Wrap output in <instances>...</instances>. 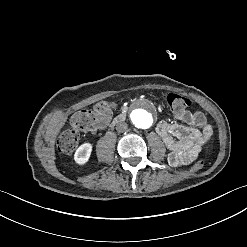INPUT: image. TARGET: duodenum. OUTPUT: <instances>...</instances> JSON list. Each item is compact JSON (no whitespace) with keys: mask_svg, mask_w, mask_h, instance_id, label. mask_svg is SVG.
Segmentation results:
<instances>
[{"mask_svg":"<svg viewBox=\"0 0 247 247\" xmlns=\"http://www.w3.org/2000/svg\"><path fill=\"white\" fill-rule=\"evenodd\" d=\"M126 115H127V109L124 108V109H122V110L115 116V118H114L113 121H112V124L115 125V124H117V123L123 121L124 118L126 117Z\"/></svg>","mask_w":247,"mask_h":247,"instance_id":"410a0bca","label":"duodenum"}]
</instances>
